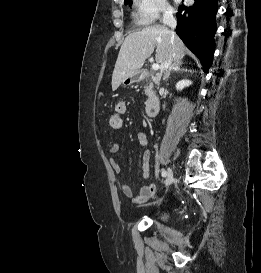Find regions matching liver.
<instances>
[{
	"label": "liver",
	"instance_id": "liver-1",
	"mask_svg": "<svg viewBox=\"0 0 261 273\" xmlns=\"http://www.w3.org/2000/svg\"><path fill=\"white\" fill-rule=\"evenodd\" d=\"M156 48L155 61L161 71L169 55L180 61L187 51L182 40L168 28L161 25L149 26L128 35L118 54L112 75V90L115 91L126 79L140 73L145 60Z\"/></svg>",
	"mask_w": 261,
	"mask_h": 273
}]
</instances>
